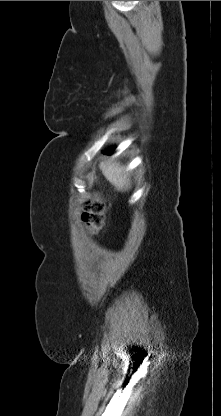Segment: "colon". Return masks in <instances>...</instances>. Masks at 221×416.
I'll return each mask as SVG.
<instances>
[{
  "label": "colon",
  "mask_w": 221,
  "mask_h": 416,
  "mask_svg": "<svg viewBox=\"0 0 221 416\" xmlns=\"http://www.w3.org/2000/svg\"><path fill=\"white\" fill-rule=\"evenodd\" d=\"M106 205L100 197L88 200L84 205L82 220L89 232L96 234L104 226Z\"/></svg>",
  "instance_id": "1"
}]
</instances>
